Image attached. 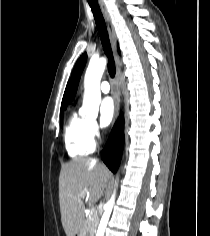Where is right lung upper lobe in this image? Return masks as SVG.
<instances>
[{"mask_svg": "<svg viewBox=\"0 0 210 236\" xmlns=\"http://www.w3.org/2000/svg\"><path fill=\"white\" fill-rule=\"evenodd\" d=\"M63 105V104H62ZM62 105H61V112H63V108H62Z\"/></svg>", "mask_w": 210, "mask_h": 236, "instance_id": "1", "label": "right lung upper lobe"}]
</instances>
